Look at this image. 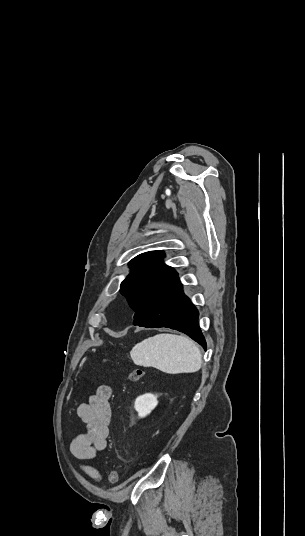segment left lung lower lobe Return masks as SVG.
<instances>
[{"label":"left lung lower lobe","instance_id":"0a47b994","mask_svg":"<svg viewBox=\"0 0 305 536\" xmlns=\"http://www.w3.org/2000/svg\"><path fill=\"white\" fill-rule=\"evenodd\" d=\"M198 310L184 295L179 278L147 299L134 315V325L147 328L169 327L188 334L206 349L198 325Z\"/></svg>","mask_w":305,"mask_h":536}]
</instances>
